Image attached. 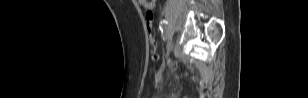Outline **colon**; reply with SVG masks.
I'll use <instances>...</instances> for the list:
<instances>
[{
  "label": "colon",
  "instance_id": "obj_1",
  "mask_svg": "<svg viewBox=\"0 0 308 98\" xmlns=\"http://www.w3.org/2000/svg\"><path fill=\"white\" fill-rule=\"evenodd\" d=\"M145 21L150 44L154 47L156 45V38L153 29V12L151 10L146 11ZM153 58H156V56H153Z\"/></svg>",
  "mask_w": 308,
  "mask_h": 98
}]
</instances>
